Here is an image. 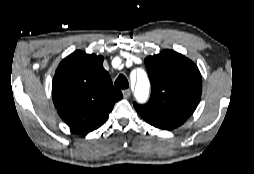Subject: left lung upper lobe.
Here are the masks:
<instances>
[{
	"mask_svg": "<svg viewBox=\"0 0 254 174\" xmlns=\"http://www.w3.org/2000/svg\"><path fill=\"white\" fill-rule=\"evenodd\" d=\"M152 85L148 103H133L136 111L183 121L195 111L202 93L198 67L185 56L164 50L144 60Z\"/></svg>",
	"mask_w": 254,
	"mask_h": 174,
	"instance_id": "5c2ea615",
	"label": "left lung upper lobe"
}]
</instances>
